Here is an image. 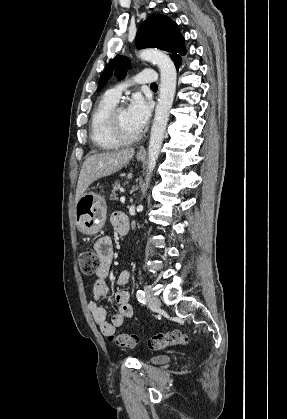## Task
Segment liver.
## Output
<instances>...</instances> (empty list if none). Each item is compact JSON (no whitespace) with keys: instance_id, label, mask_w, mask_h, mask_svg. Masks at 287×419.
<instances>
[{"instance_id":"1","label":"liver","mask_w":287,"mask_h":419,"mask_svg":"<svg viewBox=\"0 0 287 419\" xmlns=\"http://www.w3.org/2000/svg\"><path fill=\"white\" fill-rule=\"evenodd\" d=\"M134 156V149L95 153L83 162L76 189L75 202L96 180L118 172Z\"/></svg>"}]
</instances>
